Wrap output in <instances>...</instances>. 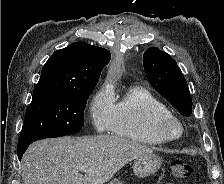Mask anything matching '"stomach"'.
I'll return each mask as SVG.
<instances>
[{
	"label": "stomach",
	"instance_id": "0dacf381",
	"mask_svg": "<svg viewBox=\"0 0 224 184\" xmlns=\"http://www.w3.org/2000/svg\"><path fill=\"white\" fill-rule=\"evenodd\" d=\"M160 166V157L152 153L135 159L133 163V172L137 177L143 178L154 174ZM108 184H124V182L120 178H115Z\"/></svg>",
	"mask_w": 224,
	"mask_h": 184
}]
</instances>
